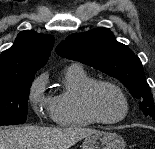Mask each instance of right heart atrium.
Wrapping results in <instances>:
<instances>
[{
    "mask_svg": "<svg viewBox=\"0 0 155 149\" xmlns=\"http://www.w3.org/2000/svg\"><path fill=\"white\" fill-rule=\"evenodd\" d=\"M46 83L47 76L42 74L33 82L28 95L29 102L39 115L45 111L51 115L52 98L45 94Z\"/></svg>",
    "mask_w": 155,
    "mask_h": 149,
    "instance_id": "1",
    "label": "right heart atrium"
}]
</instances>
